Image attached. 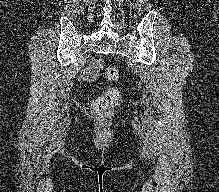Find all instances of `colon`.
Wrapping results in <instances>:
<instances>
[{
    "mask_svg": "<svg viewBox=\"0 0 219 192\" xmlns=\"http://www.w3.org/2000/svg\"><path fill=\"white\" fill-rule=\"evenodd\" d=\"M105 75L109 80L115 81L119 78V71L115 67H106ZM120 91L116 87L108 89V91L97 98L92 104V113L97 118L106 116L112 109L114 103L119 99Z\"/></svg>",
    "mask_w": 219,
    "mask_h": 192,
    "instance_id": "5ec220e1",
    "label": "colon"
}]
</instances>
